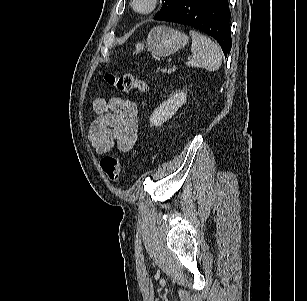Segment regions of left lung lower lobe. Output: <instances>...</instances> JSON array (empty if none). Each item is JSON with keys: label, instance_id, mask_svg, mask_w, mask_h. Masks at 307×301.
Here are the masks:
<instances>
[{"label": "left lung lower lobe", "instance_id": "0a47b994", "mask_svg": "<svg viewBox=\"0 0 307 301\" xmlns=\"http://www.w3.org/2000/svg\"><path fill=\"white\" fill-rule=\"evenodd\" d=\"M228 0H179L160 21L186 24L207 33L220 44L225 57L231 50Z\"/></svg>", "mask_w": 307, "mask_h": 301}]
</instances>
